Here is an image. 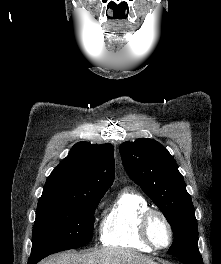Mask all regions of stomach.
<instances>
[{"instance_id": "0dacf381", "label": "stomach", "mask_w": 221, "mask_h": 264, "mask_svg": "<svg viewBox=\"0 0 221 264\" xmlns=\"http://www.w3.org/2000/svg\"><path fill=\"white\" fill-rule=\"evenodd\" d=\"M147 264H158V263L153 261L152 263H147Z\"/></svg>"}]
</instances>
